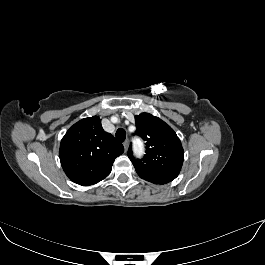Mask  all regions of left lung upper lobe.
Segmentation results:
<instances>
[{"instance_id":"left-lung-upper-lobe-1","label":"left lung upper lobe","mask_w":265,"mask_h":265,"mask_svg":"<svg viewBox=\"0 0 265 265\" xmlns=\"http://www.w3.org/2000/svg\"><path fill=\"white\" fill-rule=\"evenodd\" d=\"M136 135L146 141V154L142 159L128 157L138 175L149 182L168 183L180 173L184 151L175 131L163 120L148 113L135 116Z\"/></svg>"}]
</instances>
